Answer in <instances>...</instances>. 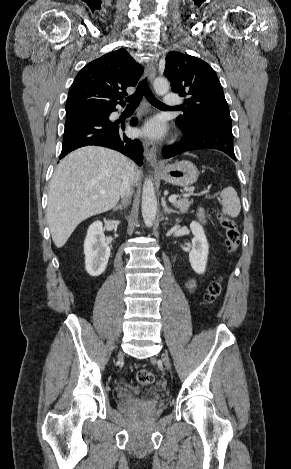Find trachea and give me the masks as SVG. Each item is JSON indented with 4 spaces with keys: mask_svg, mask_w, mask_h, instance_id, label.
I'll return each mask as SVG.
<instances>
[{
    "mask_svg": "<svg viewBox=\"0 0 291 469\" xmlns=\"http://www.w3.org/2000/svg\"><path fill=\"white\" fill-rule=\"evenodd\" d=\"M143 95L146 97V99L152 105H154L156 107L168 108V106H166L165 104L160 102L154 96V94L152 93V91L150 90V88L148 86L147 79H144V80L140 81V83L138 84L136 92L133 95L126 98V101L128 102L127 107H129V108L138 107Z\"/></svg>",
    "mask_w": 291,
    "mask_h": 469,
    "instance_id": "3493384b",
    "label": "trachea"
}]
</instances>
